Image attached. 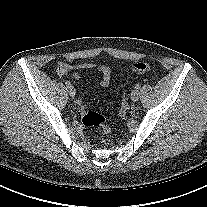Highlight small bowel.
Instances as JSON below:
<instances>
[{"label":"small bowel","mask_w":207,"mask_h":207,"mask_svg":"<svg viewBox=\"0 0 207 207\" xmlns=\"http://www.w3.org/2000/svg\"><path fill=\"white\" fill-rule=\"evenodd\" d=\"M95 69L100 73L99 83L103 87H107L110 84L112 67L106 65H97L94 63H81L77 65H71L68 63L60 62L57 66V74L59 76L71 75L74 80L80 79L79 70Z\"/></svg>","instance_id":"obj_1"}]
</instances>
